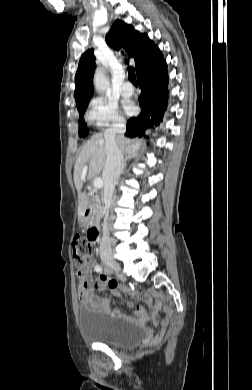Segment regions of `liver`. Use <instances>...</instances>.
I'll return each instance as SVG.
<instances>
[{"label":"liver","mask_w":252,"mask_h":390,"mask_svg":"<svg viewBox=\"0 0 252 390\" xmlns=\"http://www.w3.org/2000/svg\"><path fill=\"white\" fill-rule=\"evenodd\" d=\"M116 143L119 149L128 156L134 157L142 144L139 139H128L118 135ZM107 158L106 140L103 134H95L88 140L81 149L74 166V183L78 192V217L81 218L87 208L88 200L85 193H82L85 177L91 179L98 175L105 166ZM88 167L84 170V167Z\"/></svg>","instance_id":"obj_1"}]
</instances>
